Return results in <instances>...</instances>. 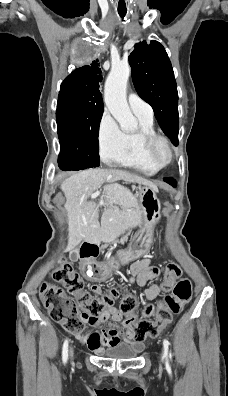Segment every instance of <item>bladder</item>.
Wrapping results in <instances>:
<instances>
[{"label":"bladder","instance_id":"31cf9c89","mask_svg":"<svg viewBox=\"0 0 228 396\" xmlns=\"http://www.w3.org/2000/svg\"><path fill=\"white\" fill-rule=\"evenodd\" d=\"M139 354L133 345L127 343H119L109 345L104 351L103 355L111 359L131 360Z\"/></svg>","mask_w":228,"mask_h":396}]
</instances>
